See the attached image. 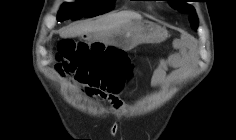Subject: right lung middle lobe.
<instances>
[{
    "instance_id": "1",
    "label": "right lung middle lobe",
    "mask_w": 236,
    "mask_h": 140,
    "mask_svg": "<svg viewBox=\"0 0 236 140\" xmlns=\"http://www.w3.org/2000/svg\"><path fill=\"white\" fill-rule=\"evenodd\" d=\"M114 0H77L75 3H64L58 13V21L93 17L110 11Z\"/></svg>"
}]
</instances>
